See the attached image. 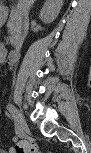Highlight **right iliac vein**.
<instances>
[{
	"mask_svg": "<svg viewBox=\"0 0 91 153\" xmlns=\"http://www.w3.org/2000/svg\"><path fill=\"white\" fill-rule=\"evenodd\" d=\"M14 118L16 121V126L18 130L21 132L22 135H30V130L28 128V125L25 121V118L23 117L20 110L16 107H14Z\"/></svg>",
	"mask_w": 91,
	"mask_h": 153,
	"instance_id": "1",
	"label": "right iliac vein"
}]
</instances>
